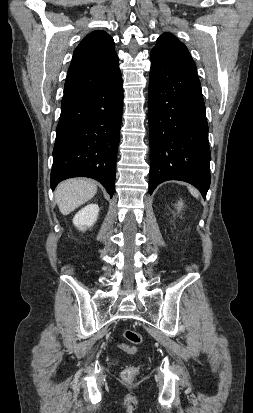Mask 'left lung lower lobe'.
I'll use <instances>...</instances> for the list:
<instances>
[{
	"mask_svg": "<svg viewBox=\"0 0 253 413\" xmlns=\"http://www.w3.org/2000/svg\"><path fill=\"white\" fill-rule=\"evenodd\" d=\"M149 193L162 182L181 180L205 198L210 186V148L199 79L157 52L150 53Z\"/></svg>",
	"mask_w": 253,
	"mask_h": 413,
	"instance_id": "1",
	"label": "left lung lower lobe"
}]
</instances>
